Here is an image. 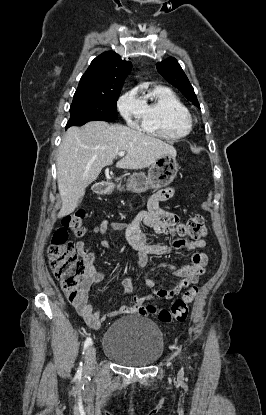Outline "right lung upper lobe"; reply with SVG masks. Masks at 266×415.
<instances>
[{
	"label": "right lung upper lobe",
	"instance_id": "right-lung-upper-lobe-1",
	"mask_svg": "<svg viewBox=\"0 0 266 415\" xmlns=\"http://www.w3.org/2000/svg\"><path fill=\"white\" fill-rule=\"evenodd\" d=\"M132 64L107 51L96 57L81 77L75 93L111 94L120 92Z\"/></svg>",
	"mask_w": 266,
	"mask_h": 415
}]
</instances>
